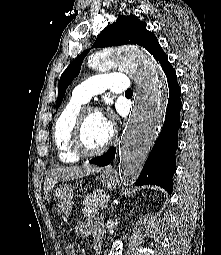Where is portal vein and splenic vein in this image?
I'll return each instance as SVG.
<instances>
[{
  "instance_id": "obj_1",
  "label": "portal vein and splenic vein",
  "mask_w": 221,
  "mask_h": 255,
  "mask_svg": "<svg viewBox=\"0 0 221 255\" xmlns=\"http://www.w3.org/2000/svg\"><path fill=\"white\" fill-rule=\"evenodd\" d=\"M105 207H107L106 201L101 204V208H105Z\"/></svg>"
}]
</instances>
